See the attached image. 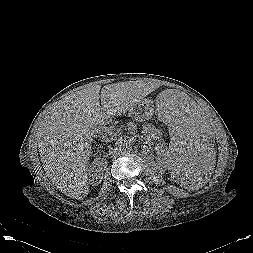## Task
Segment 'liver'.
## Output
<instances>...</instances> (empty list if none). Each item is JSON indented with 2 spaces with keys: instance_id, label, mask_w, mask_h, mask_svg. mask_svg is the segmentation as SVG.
Here are the masks:
<instances>
[{
  "instance_id": "6515ba94",
  "label": "liver",
  "mask_w": 253,
  "mask_h": 253,
  "mask_svg": "<svg viewBox=\"0 0 253 253\" xmlns=\"http://www.w3.org/2000/svg\"><path fill=\"white\" fill-rule=\"evenodd\" d=\"M153 87L139 81L92 85L61 101L38 128L41 162L48 178L66 196L89 193L88 163L93 128L140 103Z\"/></svg>"
}]
</instances>
